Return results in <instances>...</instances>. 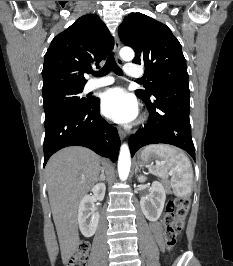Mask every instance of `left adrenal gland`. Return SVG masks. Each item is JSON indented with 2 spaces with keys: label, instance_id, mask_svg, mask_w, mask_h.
Wrapping results in <instances>:
<instances>
[{
  "label": "left adrenal gland",
  "instance_id": "a2214340",
  "mask_svg": "<svg viewBox=\"0 0 233 266\" xmlns=\"http://www.w3.org/2000/svg\"><path fill=\"white\" fill-rule=\"evenodd\" d=\"M138 170H139V167H138V165H136L135 173H137Z\"/></svg>",
  "mask_w": 233,
  "mask_h": 266
}]
</instances>
